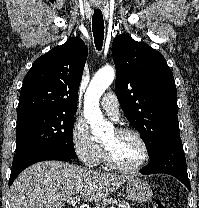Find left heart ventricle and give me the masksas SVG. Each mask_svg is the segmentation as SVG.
Returning <instances> with one entry per match:
<instances>
[{"mask_svg":"<svg viewBox=\"0 0 199 208\" xmlns=\"http://www.w3.org/2000/svg\"><path fill=\"white\" fill-rule=\"evenodd\" d=\"M102 143L108 147L114 159L124 166H135L143 158L142 145L132 135H120L113 130Z\"/></svg>","mask_w":199,"mask_h":208,"instance_id":"left-heart-ventricle-1","label":"left heart ventricle"}]
</instances>
